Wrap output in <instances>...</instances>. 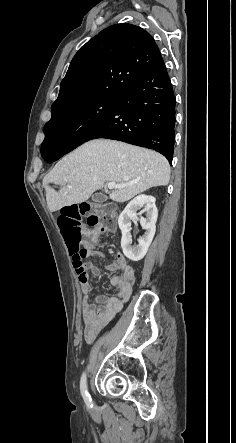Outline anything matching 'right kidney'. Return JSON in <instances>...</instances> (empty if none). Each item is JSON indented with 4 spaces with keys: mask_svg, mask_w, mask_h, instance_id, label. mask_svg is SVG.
<instances>
[{
    "mask_svg": "<svg viewBox=\"0 0 236 443\" xmlns=\"http://www.w3.org/2000/svg\"><path fill=\"white\" fill-rule=\"evenodd\" d=\"M155 201L153 196L139 195L128 203L119 216L118 224L122 232L121 247L124 255L132 261H139L145 256L155 235L158 217ZM140 209L146 212V217H140V224L145 232L139 237L138 245L132 246L131 220L137 219V211Z\"/></svg>",
    "mask_w": 236,
    "mask_h": 443,
    "instance_id": "right-kidney-1",
    "label": "right kidney"
}]
</instances>
